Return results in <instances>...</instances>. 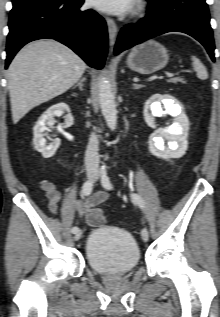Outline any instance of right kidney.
Here are the masks:
<instances>
[{
	"label": "right kidney",
	"mask_w": 220,
	"mask_h": 317,
	"mask_svg": "<svg viewBox=\"0 0 220 317\" xmlns=\"http://www.w3.org/2000/svg\"><path fill=\"white\" fill-rule=\"evenodd\" d=\"M65 112V126L71 127L74 124V118L70 113V108L66 103H58L49 107L38 119L33 128V144L35 149L42 154L44 158L52 157L60 146V139L56 138L52 140L50 144H46V139L44 138V131L46 130V125L51 126L54 124V117H60Z\"/></svg>",
	"instance_id": "1"
}]
</instances>
